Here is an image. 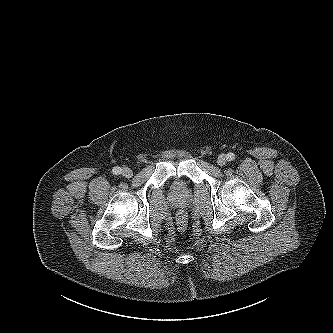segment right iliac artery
<instances>
[{
	"label": "right iliac artery",
	"mask_w": 333,
	"mask_h": 333,
	"mask_svg": "<svg viewBox=\"0 0 333 333\" xmlns=\"http://www.w3.org/2000/svg\"><path fill=\"white\" fill-rule=\"evenodd\" d=\"M113 174H121L122 172V169L120 167H114L113 170H112Z\"/></svg>",
	"instance_id": "1"
}]
</instances>
